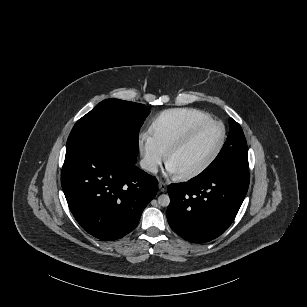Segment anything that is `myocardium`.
Listing matches in <instances>:
<instances>
[{"label": "myocardium", "instance_id": "obj_1", "mask_svg": "<svg viewBox=\"0 0 307 307\" xmlns=\"http://www.w3.org/2000/svg\"><path fill=\"white\" fill-rule=\"evenodd\" d=\"M216 123H220L224 127V136H223V139H222L220 145L216 149V151L211 155V157L208 160H206L200 166H198V167H196V168H194V169H192L190 171L184 172L182 174H178L177 175L178 179H189V178L195 177L197 175H200L203 172H205L206 170H208L217 161V159L220 157V155L223 152V150H224V148H225V146L227 144V141H228V128H227V125L222 120H210V121H207L206 123L200 125L196 129H194L184 139H182L181 141H179L176 144H174L167 151L165 159H166L167 165H169V162H170L171 158L175 154H177L178 152L182 151L183 149L188 147L190 144H192L197 139V137L204 130H206L209 126H211L213 124H216Z\"/></svg>", "mask_w": 307, "mask_h": 307}]
</instances>
